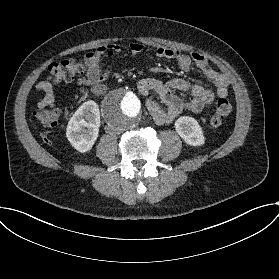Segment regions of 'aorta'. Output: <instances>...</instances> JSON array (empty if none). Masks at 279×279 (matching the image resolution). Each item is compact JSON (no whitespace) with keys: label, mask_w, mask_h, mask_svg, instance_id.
I'll use <instances>...</instances> for the list:
<instances>
[{"label":"aorta","mask_w":279,"mask_h":279,"mask_svg":"<svg viewBox=\"0 0 279 279\" xmlns=\"http://www.w3.org/2000/svg\"><path fill=\"white\" fill-rule=\"evenodd\" d=\"M142 112L138 96L127 87H119L105 97L102 113L108 125L130 129L137 125Z\"/></svg>","instance_id":"obj_1"}]
</instances>
